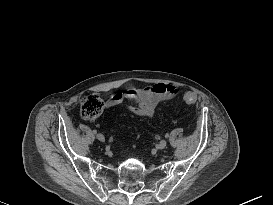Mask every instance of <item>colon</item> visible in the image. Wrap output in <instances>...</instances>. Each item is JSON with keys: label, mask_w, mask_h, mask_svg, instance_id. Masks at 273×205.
Segmentation results:
<instances>
[{"label": "colon", "mask_w": 273, "mask_h": 205, "mask_svg": "<svg viewBox=\"0 0 273 205\" xmlns=\"http://www.w3.org/2000/svg\"><path fill=\"white\" fill-rule=\"evenodd\" d=\"M183 99L187 104H194L196 102V96L193 93H186ZM103 107V100L98 94H87L81 98L80 112L85 119L94 120L98 118Z\"/></svg>", "instance_id": "colon-1"}]
</instances>
